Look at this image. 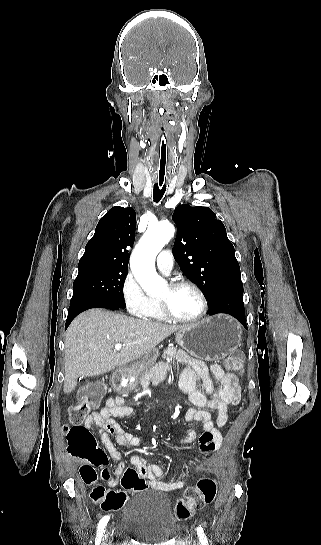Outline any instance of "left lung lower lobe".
Masks as SVG:
<instances>
[{
	"mask_svg": "<svg viewBox=\"0 0 321 545\" xmlns=\"http://www.w3.org/2000/svg\"><path fill=\"white\" fill-rule=\"evenodd\" d=\"M209 302V315L226 313L235 317L246 329L242 282L221 288Z\"/></svg>",
	"mask_w": 321,
	"mask_h": 545,
	"instance_id": "0a47b994",
	"label": "left lung lower lobe"
}]
</instances>
